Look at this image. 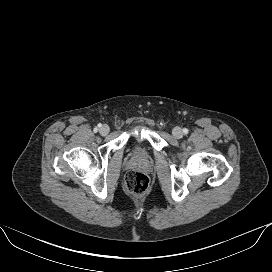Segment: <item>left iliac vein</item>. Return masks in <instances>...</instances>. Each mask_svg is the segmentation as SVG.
Here are the masks:
<instances>
[{
    "mask_svg": "<svg viewBox=\"0 0 272 272\" xmlns=\"http://www.w3.org/2000/svg\"><path fill=\"white\" fill-rule=\"evenodd\" d=\"M172 134L175 138H181L183 136L182 129L180 127H175L172 130Z\"/></svg>",
    "mask_w": 272,
    "mask_h": 272,
    "instance_id": "1",
    "label": "left iliac vein"
}]
</instances>
